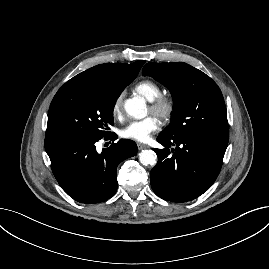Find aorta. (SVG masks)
Masks as SVG:
<instances>
[{
  "instance_id": "1",
  "label": "aorta",
  "mask_w": 269,
  "mask_h": 269,
  "mask_svg": "<svg viewBox=\"0 0 269 269\" xmlns=\"http://www.w3.org/2000/svg\"><path fill=\"white\" fill-rule=\"evenodd\" d=\"M124 108L127 114L136 119L144 118L147 115L145 100L140 97L127 99ZM139 160L144 166H154L156 164V155L152 150H143L139 154Z\"/></svg>"
}]
</instances>
